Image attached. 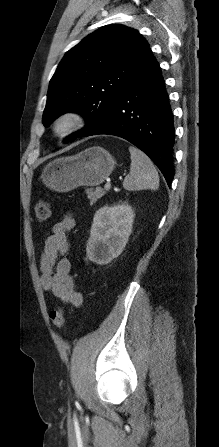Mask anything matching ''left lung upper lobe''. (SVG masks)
Masks as SVG:
<instances>
[{
	"mask_svg": "<svg viewBox=\"0 0 219 447\" xmlns=\"http://www.w3.org/2000/svg\"><path fill=\"white\" fill-rule=\"evenodd\" d=\"M149 48L138 31L108 25L70 49L50 80L43 124L80 112L87 125L67 140L89 134L104 118Z\"/></svg>",
	"mask_w": 219,
	"mask_h": 447,
	"instance_id": "1",
	"label": "left lung upper lobe"
}]
</instances>
